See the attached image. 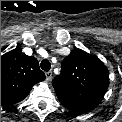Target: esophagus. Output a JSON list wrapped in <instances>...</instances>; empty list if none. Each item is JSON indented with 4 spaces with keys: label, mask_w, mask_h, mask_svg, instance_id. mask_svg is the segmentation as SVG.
<instances>
[{
    "label": "esophagus",
    "mask_w": 122,
    "mask_h": 122,
    "mask_svg": "<svg viewBox=\"0 0 122 122\" xmlns=\"http://www.w3.org/2000/svg\"><path fill=\"white\" fill-rule=\"evenodd\" d=\"M51 78H52V72L49 71V72L46 73V80H47V81H50Z\"/></svg>",
    "instance_id": "esophagus-1"
}]
</instances>
